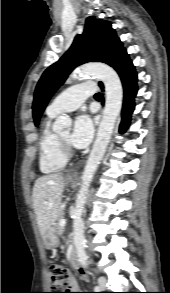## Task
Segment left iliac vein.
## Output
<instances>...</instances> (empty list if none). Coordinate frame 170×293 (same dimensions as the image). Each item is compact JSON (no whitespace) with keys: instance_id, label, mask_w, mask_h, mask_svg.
I'll return each mask as SVG.
<instances>
[{"instance_id":"4c4485c4","label":"left iliac vein","mask_w":170,"mask_h":293,"mask_svg":"<svg viewBox=\"0 0 170 293\" xmlns=\"http://www.w3.org/2000/svg\"><path fill=\"white\" fill-rule=\"evenodd\" d=\"M106 282H107V279L104 276H100L98 278V284L102 290L106 289Z\"/></svg>"}]
</instances>
